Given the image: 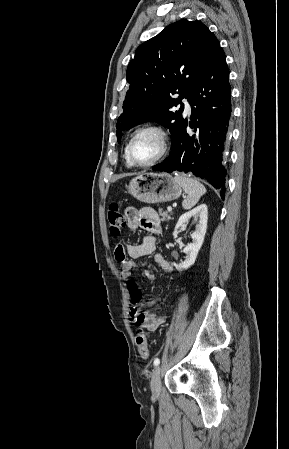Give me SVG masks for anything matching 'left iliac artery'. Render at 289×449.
Listing matches in <instances>:
<instances>
[{
  "mask_svg": "<svg viewBox=\"0 0 289 449\" xmlns=\"http://www.w3.org/2000/svg\"><path fill=\"white\" fill-rule=\"evenodd\" d=\"M160 364V359L159 358H155L154 359V366H158Z\"/></svg>",
  "mask_w": 289,
  "mask_h": 449,
  "instance_id": "obj_1",
  "label": "left iliac artery"
}]
</instances>
